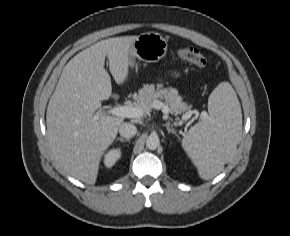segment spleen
Listing matches in <instances>:
<instances>
[{"label":"spleen","instance_id":"1","mask_svg":"<svg viewBox=\"0 0 290 236\" xmlns=\"http://www.w3.org/2000/svg\"><path fill=\"white\" fill-rule=\"evenodd\" d=\"M209 115L182 139V147L208 180L223 169L236 153L242 134V111L236 92L228 82L220 83L208 99Z\"/></svg>","mask_w":290,"mask_h":236}]
</instances>
